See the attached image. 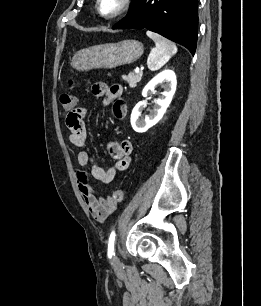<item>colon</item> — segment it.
Masks as SVG:
<instances>
[{
  "label": "colon",
  "instance_id": "obj_1",
  "mask_svg": "<svg viewBox=\"0 0 261 306\" xmlns=\"http://www.w3.org/2000/svg\"><path fill=\"white\" fill-rule=\"evenodd\" d=\"M70 86H73V81H69ZM60 103L65 111L71 113L77 106V97L72 93H64L60 96ZM113 198L116 202H121L125 198V191L117 189L113 193Z\"/></svg>",
  "mask_w": 261,
  "mask_h": 306
}]
</instances>
